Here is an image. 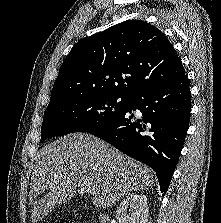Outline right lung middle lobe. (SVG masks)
Returning a JSON list of instances; mask_svg holds the SVG:
<instances>
[{"instance_id": "1", "label": "right lung middle lobe", "mask_w": 221, "mask_h": 223, "mask_svg": "<svg viewBox=\"0 0 221 223\" xmlns=\"http://www.w3.org/2000/svg\"><path fill=\"white\" fill-rule=\"evenodd\" d=\"M130 98L112 94H82L49 103L41 127V142L49 137L98 128L126 110Z\"/></svg>"}]
</instances>
